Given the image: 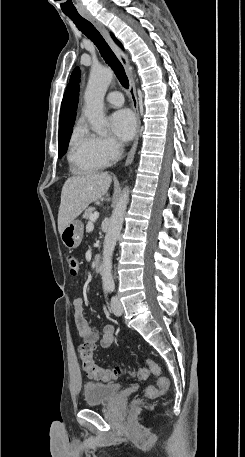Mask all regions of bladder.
Listing matches in <instances>:
<instances>
[{"label":"bladder","mask_w":245,"mask_h":457,"mask_svg":"<svg viewBox=\"0 0 245 457\" xmlns=\"http://www.w3.org/2000/svg\"><path fill=\"white\" fill-rule=\"evenodd\" d=\"M120 385L113 383H85V406L109 402L113 395H117Z\"/></svg>","instance_id":"bladder-1"}]
</instances>
